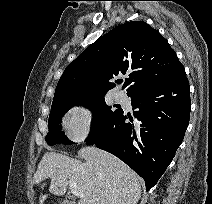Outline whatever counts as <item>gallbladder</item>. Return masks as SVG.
<instances>
[{
  "label": "gallbladder",
  "mask_w": 212,
  "mask_h": 204,
  "mask_svg": "<svg viewBox=\"0 0 212 204\" xmlns=\"http://www.w3.org/2000/svg\"><path fill=\"white\" fill-rule=\"evenodd\" d=\"M61 204H72L70 203L67 199L63 200V202Z\"/></svg>",
  "instance_id": "obj_1"
}]
</instances>
